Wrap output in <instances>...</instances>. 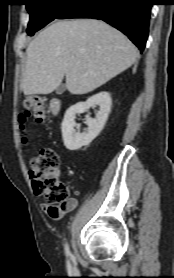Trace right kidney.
I'll return each mask as SVG.
<instances>
[{
	"label": "right kidney",
	"mask_w": 174,
	"mask_h": 278,
	"mask_svg": "<svg viewBox=\"0 0 174 278\" xmlns=\"http://www.w3.org/2000/svg\"><path fill=\"white\" fill-rule=\"evenodd\" d=\"M111 105L112 100L109 93L103 91L88 98L85 102H79L69 107L64 115L61 127L64 146L70 151H75L83 146H88L103 129L110 113ZM95 106H99V111L95 118L87 116V130L83 133L76 132V115Z\"/></svg>",
	"instance_id": "obj_1"
}]
</instances>
